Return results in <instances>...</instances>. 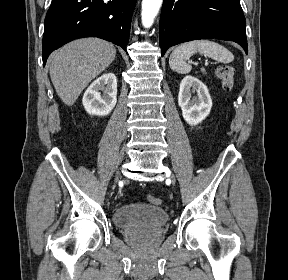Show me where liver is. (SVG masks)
Instances as JSON below:
<instances>
[{"label": "liver", "mask_w": 288, "mask_h": 280, "mask_svg": "<svg viewBox=\"0 0 288 280\" xmlns=\"http://www.w3.org/2000/svg\"><path fill=\"white\" fill-rule=\"evenodd\" d=\"M116 49L112 43L85 38L72 41L53 57L50 78L64 104L71 106L81 92L114 60Z\"/></svg>", "instance_id": "liver-1"}]
</instances>
